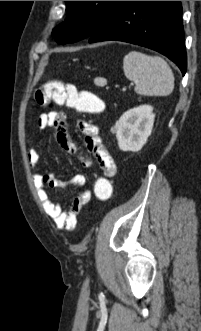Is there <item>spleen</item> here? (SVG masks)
Returning <instances> with one entry per match:
<instances>
[{
    "instance_id": "1",
    "label": "spleen",
    "mask_w": 201,
    "mask_h": 331,
    "mask_svg": "<svg viewBox=\"0 0 201 331\" xmlns=\"http://www.w3.org/2000/svg\"><path fill=\"white\" fill-rule=\"evenodd\" d=\"M125 76L137 82L135 92L148 96H168L174 89V75L159 56L132 51L123 59Z\"/></svg>"
}]
</instances>
